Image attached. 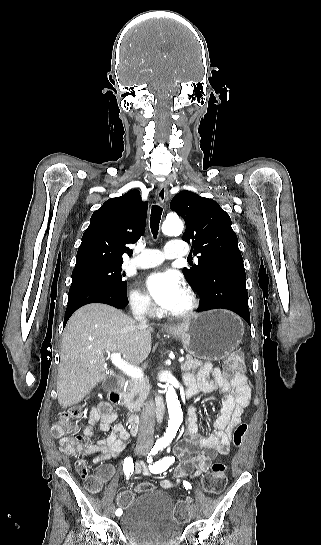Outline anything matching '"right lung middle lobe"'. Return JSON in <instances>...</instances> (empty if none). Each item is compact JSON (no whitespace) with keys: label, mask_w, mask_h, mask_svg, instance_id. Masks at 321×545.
Returning <instances> with one entry per match:
<instances>
[{"label":"right lung middle lobe","mask_w":321,"mask_h":545,"mask_svg":"<svg viewBox=\"0 0 321 545\" xmlns=\"http://www.w3.org/2000/svg\"><path fill=\"white\" fill-rule=\"evenodd\" d=\"M122 264H97L90 265L73 270L72 282L74 281H94L110 285L120 290H126V281L122 280L125 276L121 269Z\"/></svg>","instance_id":"dd1d6c3e"}]
</instances>
